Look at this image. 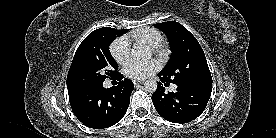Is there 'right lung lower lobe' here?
<instances>
[{
	"mask_svg": "<svg viewBox=\"0 0 276 138\" xmlns=\"http://www.w3.org/2000/svg\"><path fill=\"white\" fill-rule=\"evenodd\" d=\"M114 79L118 85L104 88L103 83L69 92L73 113L84 125L103 129L119 122L125 115L134 89L131 80L119 74Z\"/></svg>",
	"mask_w": 276,
	"mask_h": 138,
	"instance_id": "right-lung-lower-lobe-1",
	"label": "right lung lower lobe"
}]
</instances>
